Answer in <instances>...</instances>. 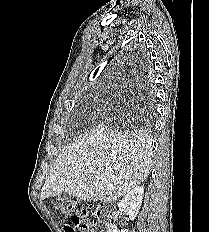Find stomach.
<instances>
[{"label": "stomach", "instance_id": "stomach-1", "mask_svg": "<svg viewBox=\"0 0 209 232\" xmlns=\"http://www.w3.org/2000/svg\"><path fill=\"white\" fill-rule=\"evenodd\" d=\"M62 214H75L76 210L73 206H70V201H61L60 207Z\"/></svg>", "mask_w": 209, "mask_h": 232}]
</instances>
